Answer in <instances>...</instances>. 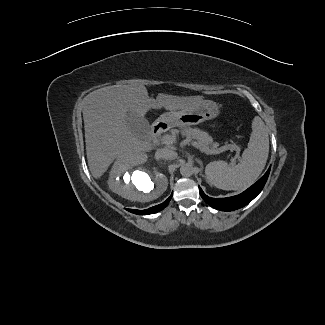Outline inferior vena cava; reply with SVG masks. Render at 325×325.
<instances>
[{"label":"inferior vena cava","mask_w":325,"mask_h":325,"mask_svg":"<svg viewBox=\"0 0 325 325\" xmlns=\"http://www.w3.org/2000/svg\"><path fill=\"white\" fill-rule=\"evenodd\" d=\"M156 158L173 160L176 159L177 153L170 149L160 148L155 153Z\"/></svg>","instance_id":"inferior-vena-cava-1"}]
</instances>
